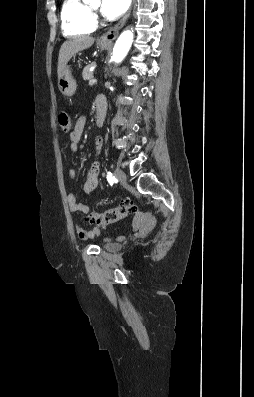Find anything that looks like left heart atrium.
<instances>
[{
	"instance_id": "39dd6f15",
	"label": "left heart atrium",
	"mask_w": 254,
	"mask_h": 397,
	"mask_svg": "<svg viewBox=\"0 0 254 397\" xmlns=\"http://www.w3.org/2000/svg\"><path fill=\"white\" fill-rule=\"evenodd\" d=\"M131 0H102L101 13L106 18L114 19L121 16L129 7Z\"/></svg>"
}]
</instances>
